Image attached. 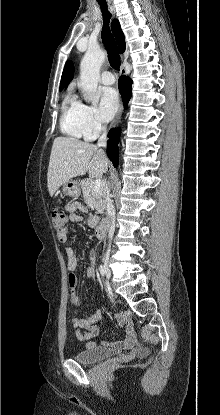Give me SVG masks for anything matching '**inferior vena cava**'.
I'll list each match as a JSON object with an SVG mask.
<instances>
[{"label":"inferior vena cava","mask_w":220,"mask_h":415,"mask_svg":"<svg viewBox=\"0 0 220 415\" xmlns=\"http://www.w3.org/2000/svg\"><path fill=\"white\" fill-rule=\"evenodd\" d=\"M102 130H103V134L98 139V146L99 147L106 146V142H107L105 127H102ZM107 210H108V214H107V217L104 220V223L108 227V232H109L108 237H109V240H111L112 236H113V233H114V206H113L111 200L108 201Z\"/></svg>","instance_id":"602c4592"}]
</instances>
